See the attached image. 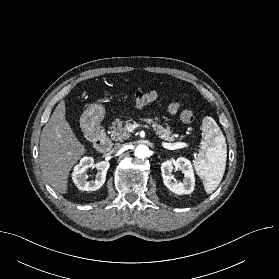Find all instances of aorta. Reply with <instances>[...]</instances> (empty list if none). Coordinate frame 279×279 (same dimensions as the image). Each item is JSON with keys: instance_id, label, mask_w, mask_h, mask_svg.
Returning a JSON list of instances; mask_svg holds the SVG:
<instances>
[{"instance_id": "762f6f07", "label": "aorta", "mask_w": 279, "mask_h": 279, "mask_svg": "<svg viewBox=\"0 0 279 279\" xmlns=\"http://www.w3.org/2000/svg\"><path fill=\"white\" fill-rule=\"evenodd\" d=\"M134 154L137 158H146L149 155V148L145 145H138Z\"/></svg>"}]
</instances>
